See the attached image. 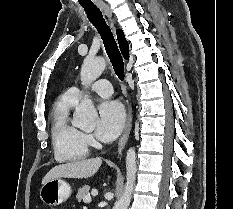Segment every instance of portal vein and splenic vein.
I'll use <instances>...</instances> for the list:
<instances>
[{
	"instance_id": "1",
	"label": "portal vein and splenic vein",
	"mask_w": 233,
	"mask_h": 209,
	"mask_svg": "<svg viewBox=\"0 0 233 209\" xmlns=\"http://www.w3.org/2000/svg\"><path fill=\"white\" fill-rule=\"evenodd\" d=\"M84 203L86 204H89L91 202V197L90 196H86L84 199H83Z\"/></svg>"
}]
</instances>
